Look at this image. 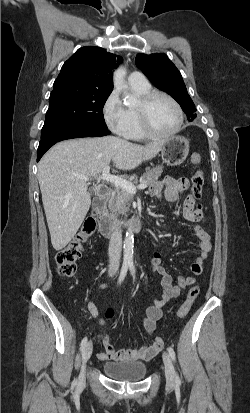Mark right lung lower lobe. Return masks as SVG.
<instances>
[{
	"mask_svg": "<svg viewBox=\"0 0 250 413\" xmlns=\"http://www.w3.org/2000/svg\"><path fill=\"white\" fill-rule=\"evenodd\" d=\"M108 129H100L95 127L77 126L62 129L52 135L42 138L39 142L37 151V161L41 159L43 154L55 143L72 138L80 137H101L110 134Z\"/></svg>",
	"mask_w": 250,
	"mask_h": 413,
	"instance_id": "right-lung-lower-lobe-1",
	"label": "right lung lower lobe"
}]
</instances>
